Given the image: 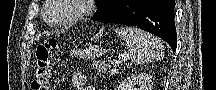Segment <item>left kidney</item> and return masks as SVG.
Listing matches in <instances>:
<instances>
[{
	"label": "left kidney",
	"mask_w": 216,
	"mask_h": 90,
	"mask_svg": "<svg viewBox=\"0 0 216 90\" xmlns=\"http://www.w3.org/2000/svg\"><path fill=\"white\" fill-rule=\"evenodd\" d=\"M150 74H136V76H130L126 78L124 82H121L119 90H151Z\"/></svg>",
	"instance_id": "5707ae66"
}]
</instances>
